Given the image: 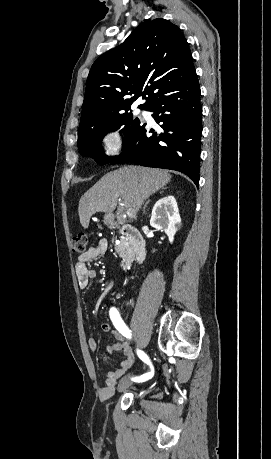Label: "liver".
Here are the masks:
<instances>
[{
  "label": "liver",
  "instance_id": "liver-1",
  "mask_svg": "<svg viewBox=\"0 0 271 459\" xmlns=\"http://www.w3.org/2000/svg\"><path fill=\"white\" fill-rule=\"evenodd\" d=\"M166 170L124 166L105 174L95 186L85 192L79 202V218L83 228H88L90 218L96 212L112 214L121 198L124 208L136 210L137 202H144L148 196L158 192L170 182Z\"/></svg>",
  "mask_w": 271,
  "mask_h": 459
}]
</instances>
